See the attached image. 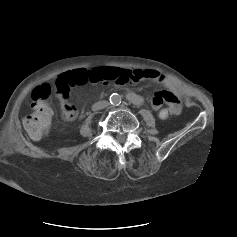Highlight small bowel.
<instances>
[{
    "label": "small bowel",
    "mask_w": 237,
    "mask_h": 237,
    "mask_svg": "<svg viewBox=\"0 0 237 237\" xmlns=\"http://www.w3.org/2000/svg\"><path fill=\"white\" fill-rule=\"evenodd\" d=\"M125 74L129 75L130 79L133 81L149 79L154 82L160 83L165 86V90L158 91L154 94L151 100V106L154 110L158 111L163 104H167L169 108L174 110V114H179L181 111L182 98L178 92L177 87L174 82L170 79L164 77L157 71L154 70H122ZM110 83V82H106ZM128 99L133 103H139L141 101V97L136 93H129ZM62 107H64L65 100L60 99ZM76 116V115H75ZM75 116H68L63 110V117L65 120H72Z\"/></svg>",
    "instance_id": "small-bowel-1"
}]
</instances>
